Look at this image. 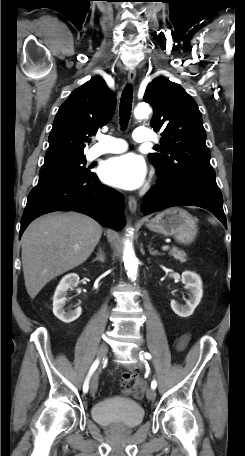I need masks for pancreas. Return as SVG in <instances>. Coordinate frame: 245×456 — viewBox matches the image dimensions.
Segmentation results:
<instances>
[{
    "label": "pancreas",
    "instance_id": "cf45deb5",
    "mask_svg": "<svg viewBox=\"0 0 245 456\" xmlns=\"http://www.w3.org/2000/svg\"><path fill=\"white\" fill-rule=\"evenodd\" d=\"M171 256L174 257V259L179 260L181 263H184L187 261V256L186 253L182 250H179L177 247H173L170 250L169 253Z\"/></svg>",
    "mask_w": 245,
    "mask_h": 456
}]
</instances>
